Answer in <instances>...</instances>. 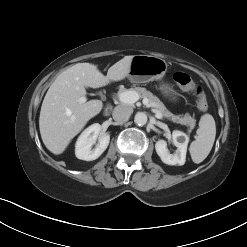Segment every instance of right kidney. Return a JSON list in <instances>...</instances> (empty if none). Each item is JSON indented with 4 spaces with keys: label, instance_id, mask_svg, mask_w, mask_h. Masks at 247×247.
<instances>
[{
    "label": "right kidney",
    "instance_id": "ca27d5eb",
    "mask_svg": "<svg viewBox=\"0 0 247 247\" xmlns=\"http://www.w3.org/2000/svg\"><path fill=\"white\" fill-rule=\"evenodd\" d=\"M97 139L98 144L95 148H92ZM109 142L110 136L107 133H101V125L98 123L92 124L81 133L76 142V157L85 161L95 160L107 149Z\"/></svg>",
    "mask_w": 247,
    "mask_h": 247
}]
</instances>
